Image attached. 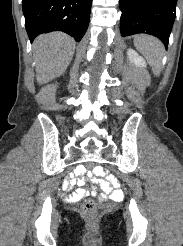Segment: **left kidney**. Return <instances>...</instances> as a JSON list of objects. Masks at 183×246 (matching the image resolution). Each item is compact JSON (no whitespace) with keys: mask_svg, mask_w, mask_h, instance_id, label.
Masks as SVG:
<instances>
[{"mask_svg":"<svg viewBox=\"0 0 183 246\" xmlns=\"http://www.w3.org/2000/svg\"><path fill=\"white\" fill-rule=\"evenodd\" d=\"M127 55L130 59V61L136 65L137 67H146V61L143 59V57H141L136 51H134L133 49H128L127 51Z\"/></svg>","mask_w":183,"mask_h":246,"instance_id":"left-kidney-1","label":"left kidney"}]
</instances>
